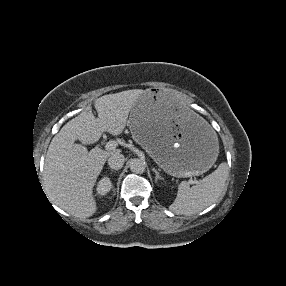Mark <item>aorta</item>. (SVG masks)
I'll return each instance as SVG.
<instances>
[{
	"label": "aorta",
	"instance_id": "1",
	"mask_svg": "<svg viewBox=\"0 0 286 286\" xmlns=\"http://www.w3.org/2000/svg\"><path fill=\"white\" fill-rule=\"evenodd\" d=\"M130 170L133 173L141 174L145 172L146 166L145 162L141 159L133 158L129 161Z\"/></svg>",
	"mask_w": 286,
	"mask_h": 286
}]
</instances>
